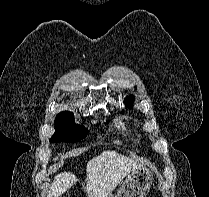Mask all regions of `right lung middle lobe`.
<instances>
[{
  "label": "right lung middle lobe",
  "mask_w": 209,
  "mask_h": 197,
  "mask_svg": "<svg viewBox=\"0 0 209 197\" xmlns=\"http://www.w3.org/2000/svg\"><path fill=\"white\" fill-rule=\"evenodd\" d=\"M56 132L51 137V142H76L87 134V129L74 122V115L65 111L57 115L55 119Z\"/></svg>",
  "instance_id": "1"
}]
</instances>
